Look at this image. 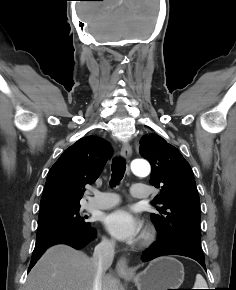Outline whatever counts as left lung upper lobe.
<instances>
[{
	"mask_svg": "<svg viewBox=\"0 0 236 290\" xmlns=\"http://www.w3.org/2000/svg\"><path fill=\"white\" fill-rule=\"evenodd\" d=\"M140 153L151 166L150 183L161 188L157 197L160 214L151 221L168 243L180 239L201 247L200 200L193 171L179 150L157 134L144 135Z\"/></svg>",
	"mask_w": 236,
	"mask_h": 290,
	"instance_id": "left-lung-upper-lobe-1",
	"label": "left lung upper lobe"
}]
</instances>
